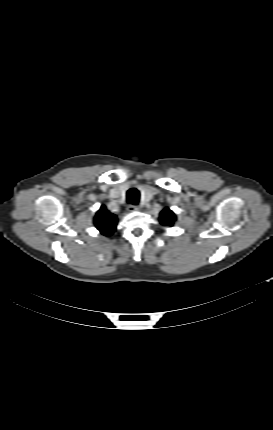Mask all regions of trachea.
I'll use <instances>...</instances> for the list:
<instances>
[{"label":"trachea","instance_id":"obj_1","mask_svg":"<svg viewBox=\"0 0 273 430\" xmlns=\"http://www.w3.org/2000/svg\"><path fill=\"white\" fill-rule=\"evenodd\" d=\"M139 191L136 188H131L127 191V200L130 204L136 205L139 201Z\"/></svg>","mask_w":273,"mask_h":430}]
</instances>
